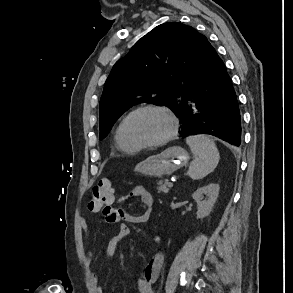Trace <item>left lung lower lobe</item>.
<instances>
[{"label": "left lung lower lobe", "instance_id": "1", "mask_svg": "<svg viewBox=\"0 0 293 293\" xmlns=\"http://www.w3.org/2000/svg\"><path fill=\"white\" fill-rule=\"evenodd\" d=\"M180 136L210 134L241 144V116L232 81L223 61L212 48L203 79L181 101Z\"/></svg>", "mask_w": 293, "mask_h": 293}]
</instances>
